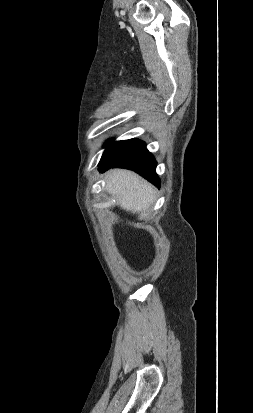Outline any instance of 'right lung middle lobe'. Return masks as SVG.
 <instances>
[{
	"label": "right lung middle lobe",
	"instance_id": "obj_1",
	"mask_svg": "<svg viewBox=\"0 0 253 413\" xmlns=\"http://www.w3.org/2000/svg\"><path fill=\"white\" fill-rule=\"evenodd\" d=\"M122 142H124V141H118V142H113V143H112V141L107 142V144H106L107 148H106V150L104 151V154H103L102 158L105 157V156H107L108 154H110V153H111L116 147H118Z\"/></svg>",
	"mask_w": 253,
	"mask_h": 413
}]
</instances>
